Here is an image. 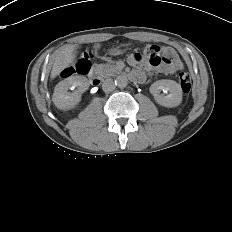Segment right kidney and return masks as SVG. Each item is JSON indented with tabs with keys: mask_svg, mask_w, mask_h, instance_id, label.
Listing matches in <instances>:
<instances>
[{
	"mask_svg": "<svg viewBox=\"0 0 232 232\" xmlns=\"http://www.w3.org/2000/svg\"><path fill=\"white\" fill-rule=\"evenodd\" d=\"M86 77L71 76L59 82L54 89L53 102L58 109L66 110L76 106L81 100V94L88 88ZM77 88L72 93L68 89Z\"/></svg>",
	"mask_w": 232,
	"mask_h": 232,
	"instance_id": "ca27d5eb",
	"label": "right kidney"
}]
</instances>
